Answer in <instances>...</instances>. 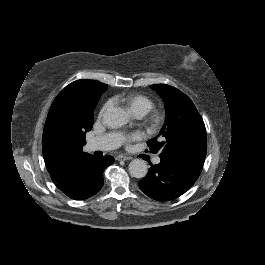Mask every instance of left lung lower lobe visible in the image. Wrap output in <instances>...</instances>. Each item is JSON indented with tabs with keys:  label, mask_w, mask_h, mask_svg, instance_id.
Here are the masks:
<instances>
[{
	"label": "left lung lower lobe",
	"mask_w": 265,
	"mask_h": 265,
	"mask_svg": "<svg viewBox=\"0 0 265 265\" xmlns=\"http://www.w3.org/2000/svg\"><path fill=\"white\" fill-rule=\"evenodd\" d=\"M147 175L139 181L140 189L158 201L173 200L189 190L199 177L205 158L160 157Z\"/></svg>",
	"instance_id": "left-lung-lower-lobe-1"
}]
</instances>
